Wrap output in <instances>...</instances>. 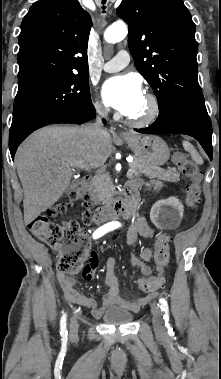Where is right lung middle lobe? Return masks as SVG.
<instances>
[{
    "instance_id": "obj_1",
    "label": "right lung middle lobe",
    "mask_w": 221,
    "mask_h": 379,
    "mask_svg": "<svg viewBox=\"0 0 221 379\" xmlns=\"http://www.w3.org/2000/svg\"><path fill=\"white\" fill-rule=\"evenodd\" d=\"M89 73H65L19 84L9 143L26 138L44 123L91 104Z\"/></svg>"
}]
</instances>
